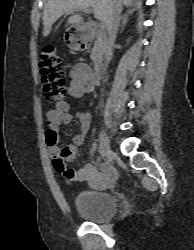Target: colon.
I'll return each mask as SVG.
<instances>
[{
  "label": "colon",
  "instance_id": "colon-1",
  "mask_svg": "<svg viewBox=\"0 0 194 250\" xmlns=\"http://www.w3.org/2000/svg\"><path fill=\"white\" fill-rule=\"evenodd\" d=\"M60 57L53 46H46L40 53V69L43 89L51 101L61 102L65 98L67 82L60 66Z\"/></svg>",
  "mask_w": 194,
  "mask_h": 250
}]
</instances>
